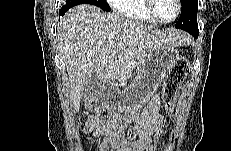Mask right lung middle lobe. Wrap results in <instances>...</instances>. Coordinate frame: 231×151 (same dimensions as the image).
Returning a JSON list of instances; mask_svg holds the SVG:
<instances>
[{
  "label": "right lung middle lobe",
  "mask_w": 231,
  "mask_h": 151,
  "mask_svg": "<svg viewBox=\"0 0 231 151\" xmlns=\"http://www.w3.org/2000/svg\"><path fill=\"white\" fill-rule=\"evenodd\" d=\"M78 1V3H76L75 5H79V4H91V5H95L99 8H101L104 11H110V7L107 4L106 0H76ZM66 3L69 1H65ZM65 5V4H64Z\"/></svg>",
  "instance_id": "dd1d6c3e"
}]
</instances>
